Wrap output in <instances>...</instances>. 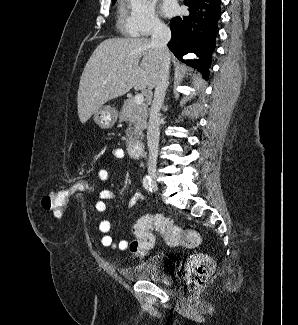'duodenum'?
Masks as SVG:
<instances>
[{"label": "duodenum", "mask_w": 298, "mask_h": 325, "mask_svg": "<svg viewBox=\"0 0 298 325\" xmlns=\"http://www.w3.org/2000/svg\"><path fill=\"white\" fill-rule=\"evenodd\" d=\"M128 151L132 157H140L144 151V143L142 141H132L128 145Z\"/></svg>", "instance_id": "410a0bca"}]
</instances>
